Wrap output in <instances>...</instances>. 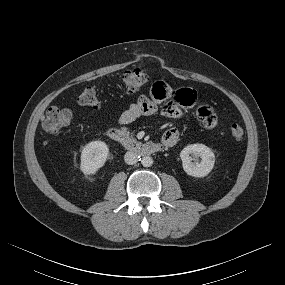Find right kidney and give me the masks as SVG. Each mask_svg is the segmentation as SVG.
<instances>
[{"label":"right kidney","instance_id":"obj_1","mask_svg":"<svg viewBox=\"0 0 285 285\" xmlns=\"http://www.w3.org/2000/svg\"><path fill=\"white\" fill-rule=\"evenodd\" d=\"M109 148L103 141H91L81 152L80 169L85 175H93L104 166Z\"/></svg>","mask_w":285,"mask_h":285}]
</instances>
